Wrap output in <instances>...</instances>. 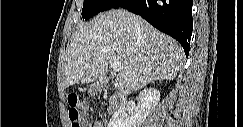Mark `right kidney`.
I'll return each mask as SVG.
<instances>
[{"mask_svg":"<svg viewBox=\"0 0 243 127\" xmlns=\"http://www.w3.org/2000/svg\"><path fill=\"white\" fill-rule=\"evenodd\" d=\"M139 105L135 112H129L128 105L120 107L111 117L108 127H140L149 114L155 110L160 100V92L155 88H146L139 94Z\"/></svg>","mask_w":243,"mask_h":127,"instance_id":"1","label":"right kidney"}]
</instances>
